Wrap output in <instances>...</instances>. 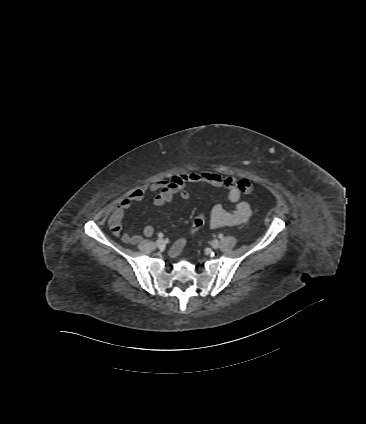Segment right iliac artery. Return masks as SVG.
<instances>
[{
	"mask_svg": "<svg viewBox=\"0 0 366 424\" xmlns=\"http://www.w3.org/2000/svg\"><path fill=\"white\" fill-rule=\"evenodd\" d=\"M158 237L162 238V237H163V234H162V233H160V234L158 235Z\"/></svg>",
	"mask_w": 366,
	"mask_h": 424,
	"instance_id": "obj_1",
	"label": "right iliac artery"
}]
</instances>
